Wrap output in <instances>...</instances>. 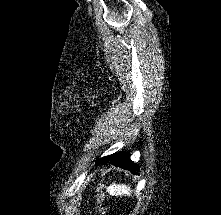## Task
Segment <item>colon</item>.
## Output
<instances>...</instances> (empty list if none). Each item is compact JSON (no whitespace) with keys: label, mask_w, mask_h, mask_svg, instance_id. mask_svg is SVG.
<instances>
[{"label":"colon","mask_w":221,"mask_h":215,"mask_svg":"<svg viewBox=\"0 0 221 215\" xmlns=\"http://www.w3.org/2000/svg\"><path fill=\"white\" fill-rule=\"evenodd\" d=\"M96 209L99 212H103L104 211V206H103V200H104V194L102 193V191L97 188L96 190Z\"/></svg>","instance_id":"1"}]
</instances>
